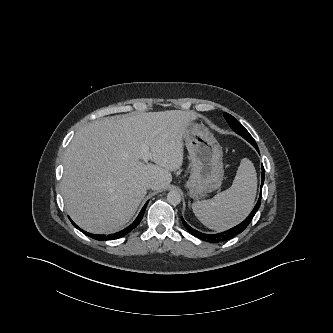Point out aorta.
<instances>
[{
  "mask_svg": "<svg viewBox=\"0 0 333 333\" xmlns=\"http://www.w3.org/2000/svg\"><path fill=\"white\" fill-rule=\"evenodd\" d=\"M167 201L171 205H178L181 202V195L177 191H170L167 194Z\"/></svg>",
  "mask_w": 333,
  "mask_h": 333,
  "instance_id": "obj_1",
  "label": "aorta"
}]
</instances>
